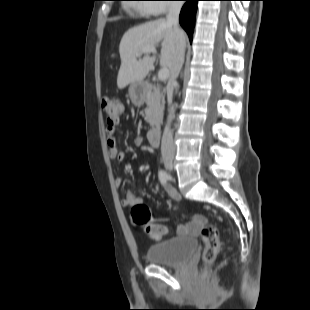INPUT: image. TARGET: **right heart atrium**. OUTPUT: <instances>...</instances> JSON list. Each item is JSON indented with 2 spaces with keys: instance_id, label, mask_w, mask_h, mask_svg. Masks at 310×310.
Instances as JSON below:
<instances>
[{
  "instance_id": "right-heart-atrium-1",
  "label": "right heart atrium",
  "mask_w": 310,
  "mask_h": 310,
  "mask_svg": "<svg viewBox=\"0 0 310 310\" xmlns=\"http://www.w3.org/2000/svg\"><path fill=\"white\" fill-rule=\"evenodd\" d=\"M155 2L154 4H150L148 7L151 8L153 15H160L165 13L169 7V0H151Z\"/></svg>"
}]
</instances>
